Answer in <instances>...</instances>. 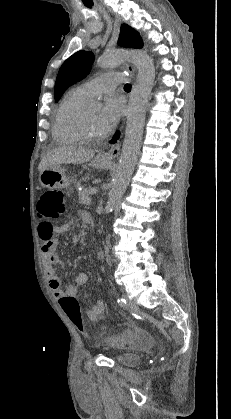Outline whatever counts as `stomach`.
Listing matches in <instances>:
<instances>
[{"instance_id":"obj_1","label":"stomach","mask_w":231,"mask_h":419,"mask_svg":"<svg viewBox=\"0 0 231 419\" xmlns=\"http://www.w3.org/2000/svg\"><path fill=\"white\" fill-rule=\"evenodd\" d=\"M91 164L96 168L106 169L112 165V161L99 154L92 160ZM39 183L47 189H62L69 187L70 179L67 177L64 168L57 165L42 170L39 174Z\"/></svg>"}]
</instances>
